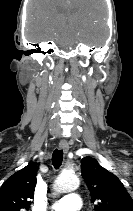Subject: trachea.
Wrapping results in <instances>:
<instances>
[{
  "mask_svg": "<svg viewBox=\"0 0 133 211\" xmlns=\"http://www.w3.org/2000/svg\"><path fill=\"white\" fill-rule=\"evenodd\" d=\"M63 159V150H55L52 154L53 166L58 169L61 166Z\"/></svg>",
  "mask_w": 133,
  "mask_h": 211,
  "instance_id": "obj_1",
  "label": "trachea"
}]
</instances>
